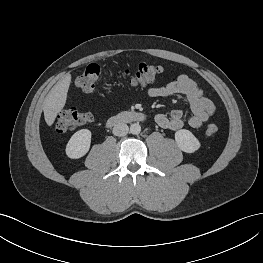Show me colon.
<instances>
[{"instance_id": "1", "label": "colon", "mask_w": 263, "mask_h": 263, "mask_svg": "<svg viewBox=\"0 0 263 263\" xmlns=\"http://www.w3.org/2000/svg\"><path fill=\"white\" fill-rule=\"evenodd\" d=\"M116 70L133 87H143L154 81L162 72L159 65L140 63L134 69L97 64L88 65L76 79V85L84 92H93L97 83L108 76L112 70ZM94 117L89 112H82L74 108L61 110L56 119V128L60 132L73 130L79 126L91 123ZM219 130L216 124H210L206 129L208 136L215 135Z\"/></svg>"}]
</instances>
